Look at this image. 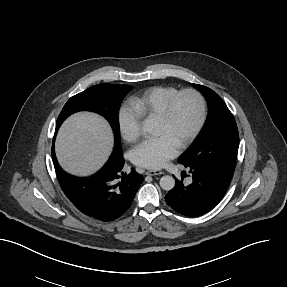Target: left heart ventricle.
Segmentation results:
<instances>
[{"mask_svg":"<svg viewBox=\"0 0 287 287\" xmlns=\"http://www.w3.org/2000/svg\"><path fill=\"white\" fill-rule=\"evenodd\" d=\"M199 116L197 101L191 95L182 96L175 104L168 124L157 122L156 136L168 137L176 146L188 136Z\"/></svg>","mask_w":287,"mask_h":287,"instance_id":"b2bd125f","label":"left heart ventricle"}]
</instances>
